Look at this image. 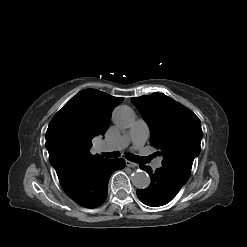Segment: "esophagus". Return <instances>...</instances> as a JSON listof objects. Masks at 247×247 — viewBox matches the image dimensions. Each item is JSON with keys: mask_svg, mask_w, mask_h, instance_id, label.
I'll return each mask as SVG.
<instances>
[{"mask_svg": "<svg viewBox=\"0 0 247 247\" xmlns=\"http://www.w3.org/2000/svg\"><path fill=\"white\" fill-rule=\"evenodd\" d=\"M126 166L130 167V168H135L137 166V164L133 163V162H131L129 160H126Z\"/></svg>", "mask_w": 247, "mask_h": 247, "instance_id": "esophagus-1", "label": "esophagus"}]
</instances>
